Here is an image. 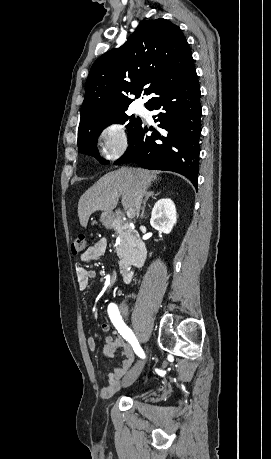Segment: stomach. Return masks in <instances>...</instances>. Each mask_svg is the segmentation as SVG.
<instances>
[{
	"mask_svg": "<svg viewBox=\"0 0 271 459\" xmlns=\"http://www.w3.org/2000/svg\"><path fill=\"white\" fill-rule=\"evenodd\" d=\"M113 218H114V216H113L112 212H104V214H102V216H101V222H103V224H105V226H110Z\"/></svg>",
	"mask_w": 271,
	"mask_h": 459,
	"instance_id": "1",
	"label": "stomach"
}]
</instances>
